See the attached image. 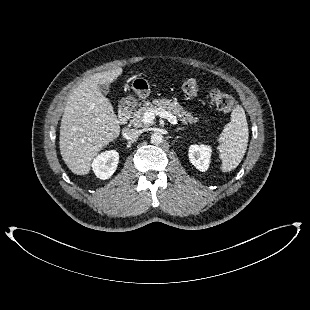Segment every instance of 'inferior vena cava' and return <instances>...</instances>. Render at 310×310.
<instances>
[{
  "label": "inferior vena cava",
  "mask_w": 310,
  "mask_h": 310,
  "mask_svg": "<svg viewBox=\"0 0 310 310\" xmlns=\"http://www.w3.org/2000/svg\"><path fill=\"white\" fill-rule=\"evenodd\" d=\"M125 137L128 139H136L142 134V130L126 128L124 130Z\"/></svg>",
  "instance_id": "1"
}]
</instances>
